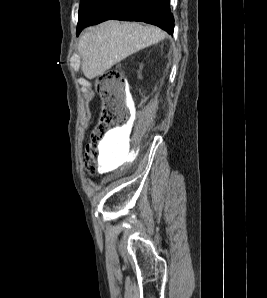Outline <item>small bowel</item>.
I'll list each match as a JSON object with an SVG mask.
<instances>
[{
  "label": "small bowel",
  "instance_id": "1",
  "mask_svg": "<svg viewBox=\"0 0 267 298\" xmlns=\"http://www.w3.org/2000/svg\"><path fill=\"white\" fill-rule=\"evenodd\" d=\"M117 137H118V132H116V131L110 132L108 134V136H107L108 143L111 144V143L115 142V140L117 139Z\"/></svg>",
  "mask_w": 267,
  "mask_h": 298
}]
</instances>
